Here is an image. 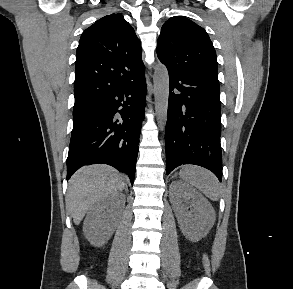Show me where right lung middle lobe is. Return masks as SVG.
<instances>
[{"label":"right lung middle lobe","mask_w":293,"mask_h":289,"mask_svg":"<svg viewBox=\"0 0 293 289\" xmlns=\"http://www.w3.org/2000/svg\"><path fill=\"white\" fill-rule=\"evenodd\" d=\"M78 108H81V107H74V110H75V109H78Z\"/></svg>","instance_id":"1"}]
</instances>
